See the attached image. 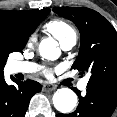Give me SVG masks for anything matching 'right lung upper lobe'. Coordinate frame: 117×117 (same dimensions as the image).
<instances>
[{
	"instance_id": "cb5924a9",
	"label": "right lung upper lobe",
	"mask_w": 117,
	"mask_h": 117,
	"mask_svg": "<svg viewBox=\"0 0 117 117\" xmlns=\"http://www.w3.org/2000/svg\"><path fill=\"white\" fill-rule=\"evenodd\" d=\"M50 9H35L29 11L0 10V26L13 28L19 39L26 45L29 36L49 14ZM5 62L0 60V78L4 77Z\"/></svg>"
}]
</instances>
